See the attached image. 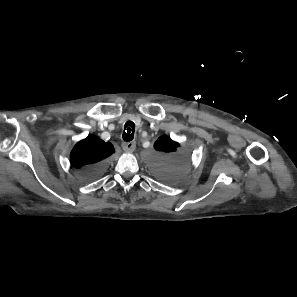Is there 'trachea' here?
<instances>
[{"label":"trachea","mask_w":297,"mask_h":297,"mask_svg":"<svg viewBox=\"0 0 297 297\" xmlns=\"http://www.w3.org/2000/svg\"><path fill=\"white\" fill-rule=\"evenodd\" d=\"M135 124L132 121H127L124 126L122 138L126 142H130L134 138Z\"/></svg>","instance_id":"1"}]
</instances>
